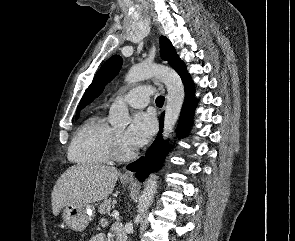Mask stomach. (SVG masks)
Wrapping results in <instances>:
<instances>
[{
    "label": "stomach",
    "mask_w": 295,
    "mask_h": 241,
    "mask_svg": "<svg viewBox=\"0 0 295 241\" xmlns=\"http://www.w3.org/2000/svg\"><path fill=\"white\" fill-rule=\"evenodd\" d=\"M124 185H128L130 181L122 180ZM95 216V208L91 204H71L65 206L63 210V220L65 224L72 230L82 232L93 220Z\"/></svg>",
    "instance_id": "obj_1"
}]
</instances>
